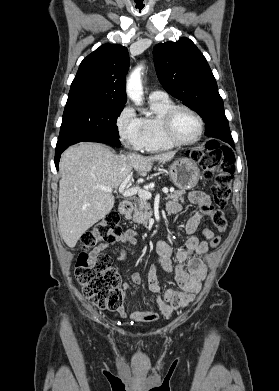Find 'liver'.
Wrapping results in <instances>:
<instances>
[{"label": "liver", "instance_id": "obj_1", "mask_svg": "<svg viewBox=\"0 0 279 391\" xmlns=\"http://www.w3.org/2000/svg\"><path fill=\"white\" fill-rule=\"evenodd\" d=\"M175 152L144 157L116 155L108 147L84 142L68 148L60 160L58 218L60 235L70 247L113 208L115 199L99 186L118 187L132 170L146 176L153 162H168Z\"/></svg>", "mask_w": 279, "mask_h": 391}]
</instances>
